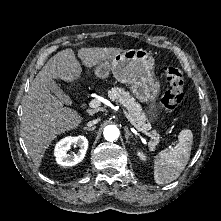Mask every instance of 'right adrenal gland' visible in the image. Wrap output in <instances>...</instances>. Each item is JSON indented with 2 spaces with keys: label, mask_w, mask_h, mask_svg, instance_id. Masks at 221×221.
Returning a JSON list of instances; mask_svg holds the SVG:
<instances>
[{
  "label": "right adrenal gland",
  "mask_w": 221,
  "mask_h": 221,
  "mask_svg": "<svg viewBox=\"0 0 221 221\" xmlns=\"http://www.w3.org/2000/svg\"><path fill=\"white\" fill-rule=\"evenodd\" d=\"M95 126L89 128V127H84V130H87V131H94L95 130Z\"/></svg>",
  "instance_id": "obj_1"
}]
</instances>
